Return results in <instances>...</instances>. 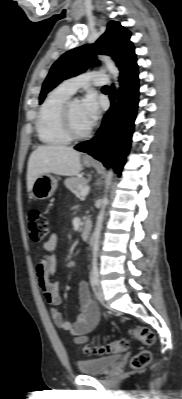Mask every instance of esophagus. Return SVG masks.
Returning <instances> with one entry per match:
<instances>
[{
  "mask_svg": "<svg viewBox=\"0 0 182 399\" xmlns=\"http://www.w3.org/2000/svg\"><path fill=\"white\" fill-rule=\"evenodd\" d=\"M90 158H91L90 155L88 154L84 155V159H90Z\"/></svg>",
  "mask_w": 182,
  "mask_h": 399,
  "instance_id": "obj_1",
  "label": "esophagus"
}]
</instances>
